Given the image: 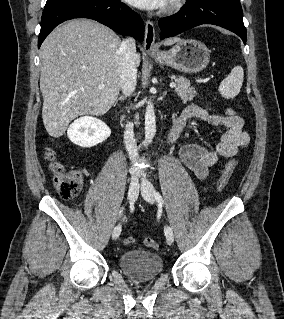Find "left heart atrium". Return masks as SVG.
Segmentation results:
<instances>
[{
    "instance_id": "1",
    "label": "left heart atrium",
    "mask_w": 284,
    "mask_h": 319,
    "mask_svg": "<svg viewBox=\"0 0 284 319\" xmlns=\"http://www.w3.org/2000/svg\"><path fill=\"white\" fill-rule=\"evenodd\" d=\"M140 9H158L166 5L168 0H125Z\"/></svg>"
}]
</instances>
